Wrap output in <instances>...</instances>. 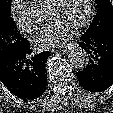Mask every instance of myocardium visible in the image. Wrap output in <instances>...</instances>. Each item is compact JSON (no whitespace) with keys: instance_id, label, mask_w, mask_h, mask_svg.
I'll use <instances>...</instances> for the list:
<instances>
[{"instance_id":"1","label":"myocardium","mask_w":113,"mask_h":113,"mask_svg":"<svg viewBox=\"0 0 113 113\" xmlns=\"http://www.w3.org/2000/svg\"><path fill=\"white\" fill-rule=\"evenodd\" d=\"M60 1L61 0H52L49 3V5L46 9V13L51 11L52 9H54ZM87 1H88L87 13H86L85 17L76 25L75 28L77 30L82 29L85 26H87L93 18V15H94V0H87Z\"/></svg>"}]
</instances>
